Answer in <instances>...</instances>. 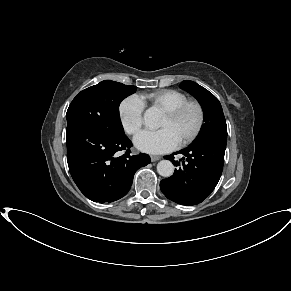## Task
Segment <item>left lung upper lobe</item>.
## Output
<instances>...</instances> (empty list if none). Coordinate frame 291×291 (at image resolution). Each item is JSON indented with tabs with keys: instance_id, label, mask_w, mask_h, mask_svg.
<instances>
[{
	"instance_id": "obj_1",
	"label": "left lung upper lobe",
	"mask_w": 291,
	"mask_h": 291,
	"mask_svg": "<svg viewBox=\"0 0 291 291\" xmlns=\"http://www.w3.org/2000/svg\"><path fill=\"white\" fill-rule=\"evenodd\" d=\"M180 88L192 94L204 111V124L194 142L206 139L227 140V125L219 100L204 87L189 80L181 82Z\"/></svg>"
}]
</instances>
